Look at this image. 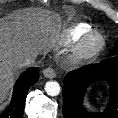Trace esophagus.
Returning a JSON list of instances; mask_svg holds the SVG:
<instances>
[{"mask_svg":"<svg viewBox=\"0 0 118 118\" xmlns=\"http://www.w3.org/2000/svg\"><path fill=\"white\" fill-rule=\"evenodd\" d=\"M43 75L48 79H53L56 77V72L53 68L48 67L43 70Z\"/></svg>","mask_w":118,"mask_h":118,"instance_id":"esophagus-1","label":"esophagus"}]
</instances>
